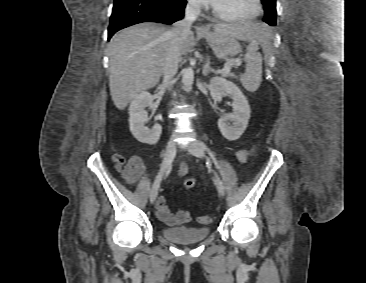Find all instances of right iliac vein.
Wrapping results in <instances>:
<instances>
[{"mask_svg":"<svg viewBox=\"0 0 366 283\" xmlns=\"http://www.w3.org/2000/svg\"><path fill=\"white\" fill-rule=\"evenodd\" d=\"M175 153H176V144L173 140H170L168 142L167 146H166V150H165V153H164V156H163V162H162L160 171H159V173L157 175V178H156V180H155V182L152 186V189L150 191L149 198H150L151 203H154V201L157 198L160 182L162 180L164 172L166 171V169L171 164V162H172V160L175 156Z\"/></svg>","mask_w":366,"mask_h":283,"instance_id":"1","label":"right iliac vein"}]
</instances>
